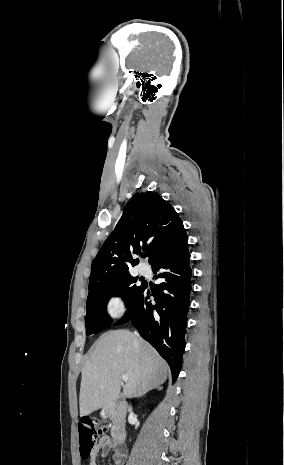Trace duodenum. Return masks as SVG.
I'll return each mask as SVG.
<instances>
[{"instance_id": "obj_1", "label": "duodenum", "mask_w": 284, "mask_h": 465, "mask_svg": "<svg viewBox=\"0 0 284 465\" xmlns=\"http://www.w3.org/2000/svg\"><path fill=\"white\" fill-rule=\"evenodd\" d=\"M113 419L111 438L114 442H122L125 436V417L127 415V402H115L109 409L102 411V416Z\"/></svg>"}]
</instances>
